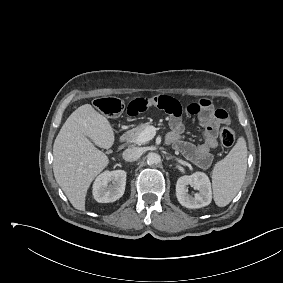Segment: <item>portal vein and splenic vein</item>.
I'll list each match as a JSON object with an SVG mask.
<instances>
[{
  "label": "portal vein and splenic vein",
  "mask_w": 283,
  "mask_h": 283,
  "mask_svg": "<svg viewBox=\"0 0 283 283\" xmlns=\"http://www.w3.org/2000/svg\"><path fill=\"white\" fill-rule=\"evenodd\" d=\"M156 134V128L153 126L148 127L147 129H145L137 138V140L135 141L137 144H142L145 142L150 141L151 139L154 138Z\"/></svg>",
  "instance_id": "obj_1"
}]
</instances>
